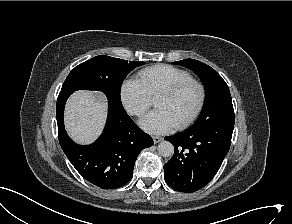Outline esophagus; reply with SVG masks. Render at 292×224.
I'll list each match as a JSON object with an SVG mask.
<instances>
[{"instance_id":"esophagus-1","label":"esophagus","mask_w":292,"mask_h":224,"mask_svg":"<svg viewBox=\"0 0 292 224\" xmlns=\"http://www.w3.org/2000/svg\"><path fill=\"white\" fill-rule=\"evenodd\" d=\"M162 140H163L162 137H159V136H153V141H154L155 144L161 142Z\"/></svg>"}]
</instances>
